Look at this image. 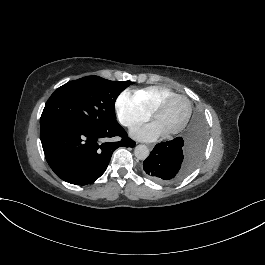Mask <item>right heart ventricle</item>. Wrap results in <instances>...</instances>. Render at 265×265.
I'll list each match as a JSON object with an SVG mask.
<instances>
[{"instance_id":"obj_1","label":"right heart ventricle","mask_w":265,"mask_h":265,"mask_svg":"<svg viewBox=\"0 0 265 265\" xmlns=\"http://www.w3.org/2000/svg\"><path fill=\"white\" fill-rule=\"evenodd\" d=\"M171 93L172 91L164 86H151L134 91L135 97L138 98L150 112H152L155 104L160 99Z\"/></svg>"}]
</instances>
